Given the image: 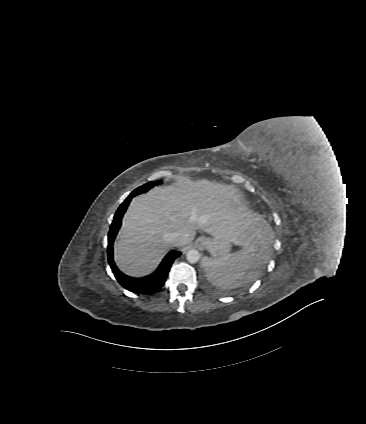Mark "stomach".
I'll list each match as a JSON object with an SVG mask.
<instances>
[{
	"instance_id": "0dacf381",
	"label": "stomach",
	"mask_w": 366,
	"mask_h": 424,
	"mask_svg": "<svg viewBox=\"0 0 366 424\" xmlns=\"http://www.w3.org/2000/svg\"><path fill=\"white\" fill-rule=\"evenodd\" d=\"M200 245L208 250L215 258L224 257L231 250V243L221 238H206L199 239Z\"/></svg>"
}]
</instances>
